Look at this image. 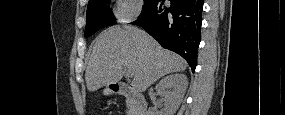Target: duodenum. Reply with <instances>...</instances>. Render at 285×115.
<instances>
[{
    "label": "duodenum",
    "mask_w": 285,
    "mask_h": 115,
    "mask_svg": "<svg viewBox=\"0 0 285 115\" xmlns=\"http://www.w3.org/2000/svg\"><path fill=\"white\" fill-rule=\"evenodd\" d=\"M114 94L127 97L131 101L133 115H147V103L138 91L133 90L128 84L115 82L111 85Z\"/></svg>",
    "instance_id": "duodenum-1"
}]
</instances>
